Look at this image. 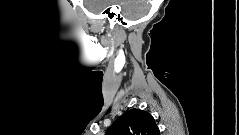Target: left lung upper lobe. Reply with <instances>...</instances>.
<instances>
[{
  "mask_svg": "<svg viewBox=\"0 0 239 135\" xmlns=\"http://www.w3.org/2000/svg\"><path fill=\"white\" fill-rule=\"evenodd\" d=\"M106 135H160V131L151 114L131 109L111 125Z\"/></svg>",
  "mask_w": 239,
  "mask_h": 135,
  "instance_id": "1",
  "label": "left lung upper lobe"
}]
</instances>
